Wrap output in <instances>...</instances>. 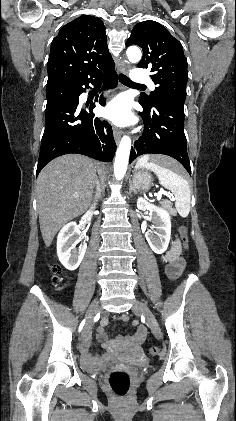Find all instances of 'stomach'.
I'll list each match as a JSON object with an SVG mask.
<instances>
[{
	"mask_svg": "<svg viewBox=\"0 0 236 421\" xmlns=\"http://www.w3.org/2000/svg\"><path fill=\"white\" fill-rule=\"evenodd\" d=\"M132 182L137 192H146L152 184V176L148 170H135L132 176Z\"/></svg>",
	"mask_w": 236,
	"mask_h": 421,
	"instance_id": "0dacf381",
	"label": "stomach"
}]
</instances>
